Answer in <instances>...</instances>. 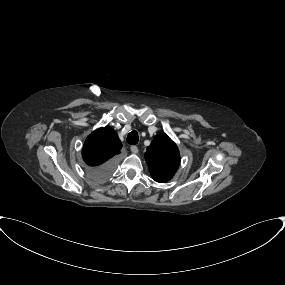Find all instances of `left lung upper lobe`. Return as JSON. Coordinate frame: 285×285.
Masks as SVG:
<instances>
[{"mask_svg":"<svg viewBox=\"0 0 285 285\" xmlns=\"http://www.w3.org/2000/svg\"><path fill=\"white\" fill-rule=\"evenodd\" d=\"M145 159L152 178L160 183L169 181L180 164L178 148L165 133L154 137L147 147Z\"/></svg>","mask_w":285,"mask_h":285,"instance_id":"left-lung-upper-lobe-1","label":"left lung upper lobe"}]
</instances>
